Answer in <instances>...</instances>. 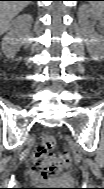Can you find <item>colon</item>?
I'll use <instances>...</instances> for the list:
<instances>
[{"label": "colon", "instance_id": "5ec220e1", "mask_svg": "<svg viewBox=\"0 0 104 189\" xmlns=\"http://www.w3.org/2000/svg\"><path fill=\"white\" fill-rule=\"evenodd\" d=\"M56 139L51 134H45L41 142L34 149L32 157V168L43 178L53 177L66 170L71 164V156L65 152L59 157L52 155L56 149Z\"/></svg>", "mask_w": 104, "mask_h": 189}]
</instances>
